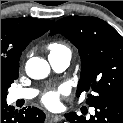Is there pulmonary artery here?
Wrapping results in <instances>:
<instances>
[{"instance_id":"1","label":"pulmonary artery","mask_w":123,"mask_h":123,"mask_svg":"<svg viewBox=\"0 0 123 123\" xmlns=\"http://www.w3.org/2000/svg\"><path fill=\"white\" fill-rule=\"evenodd\" d=\"M49 62L52 68L56 71H63L65 70L69 64L71 55L69 52H63L59 54H49L48 56ZM37 94V90L31 88L25 89H15L10 93V96L13 100H30L34 98Z\"/></svg>"}]
</instances>
